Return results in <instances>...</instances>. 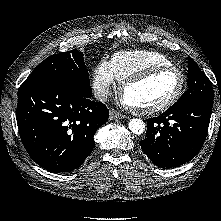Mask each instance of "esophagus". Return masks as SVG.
I'll list each match as a JSON object with an SVG mask.
<instances>
[{
  "mask_svg": "<svg viewBox=\"0 0 221 221\" xmlns=\"http://www.w3.org/2000/svg\"><path fill=\"white\" fill-rule=\"evenodd\" d=\"M124 118H126L125 115H123V114H121V113H119V112H117V111H115V110H111V111L109 112V119H110V120L124 119Z\"/></svg>",
  "mask_w": 221,
  "mask_h": 221,
  "instance_id": "1",
  "label": "esophagus"
}]
</instances>
